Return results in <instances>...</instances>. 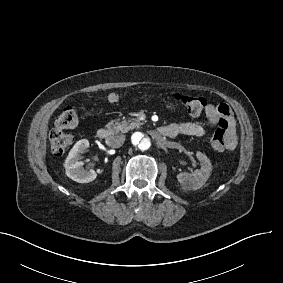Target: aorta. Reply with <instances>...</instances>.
Wrapping results in <instances>:
<instances>
[{"label":"aorta","mask_w":283,"mask_h":283,"mask_svg":"<svg viewBox=\"0 0 283 283\" xmlns=\"http://www.w3.org/2000/svg\"><path fill=\"white\" fill-rule=\"evenodd\" d=\"M131 145L137 151H147L152 145L151 138L144 132H135L131 136Z\"/></svg>","instance_id":"aorta-1"}]
</instances>
